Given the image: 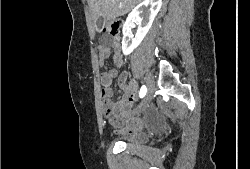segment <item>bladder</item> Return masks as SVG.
<instances>
[{"mask_svg":"<svg viewBox=\"0 0 250 169\" xmlns=\"http://www.w3.org/2000/svg\"><path fill=\"white\" fill-rule=\"evenodd\" d=\"M119 141L126 146H146L150 140L149 133H137V131L131 133H121Z\"/></svg>","mask_w":250,"mask_h":169,"instance_id":"obj_1","label":"bladder"}]
</instances>
